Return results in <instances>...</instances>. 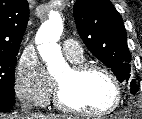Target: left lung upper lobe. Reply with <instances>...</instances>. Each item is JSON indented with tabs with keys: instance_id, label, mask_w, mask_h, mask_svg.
<instances>
[{
	"instance_id": "1",
	"label": "left lung upper lobe",
	"mask_w": 142,
	"mask_h": 119,
	"mask_svg": "<svg viewBox=\"0 0 142 119\" xmlns=\"http://www.w3.org/2000/svg\"><path fill=\"white\" fill-rule=\"evenodd\" d=\"M80 37L91 53L111 68L119 82L128 81L131 55L123 20L109 0H78L73 7ZM131 93L139 88L133 79Z\"/></svg>"
}]
</instances>
